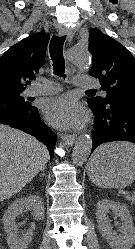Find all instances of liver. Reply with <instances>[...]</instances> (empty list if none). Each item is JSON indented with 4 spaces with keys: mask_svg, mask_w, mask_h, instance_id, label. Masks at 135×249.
I'll return each instance as SVG.
<instances>
[{
    "mask_svg": "<svg viewBox=\"0 0 135 249\" xmlns=\"http://www.w3.org/2000/svg\"><path fill=\"white\" fill-rule=\"evenodd\" d=\"M48 160L49 152L44 144L0 124V202L20 192L45 169Z\"/></svg>",
    "mask_w": 135,
    "mask_h": 249,
    "instance_id": "1",
    "label": "liver"
}]
</instances>
